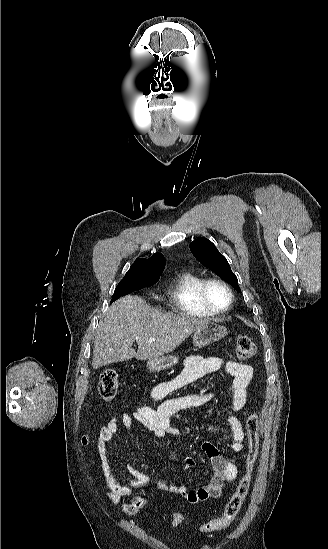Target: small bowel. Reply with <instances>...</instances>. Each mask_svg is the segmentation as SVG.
I'll return each instance as SVG.
<instances>
[{"label":"small bowel","mask_w":328,"mask_h":549,"mask_svg":"<svg viewBox=\"0 0 328 549\" xmlns=\"http://www.w3.org/2000/svg\"><path fill=\"white\" fill-rule=\"evenodd\" d=\"M221 368H224L233 377L232 400L230 412L227 415V422L232 436L231 457L226 459L214 444L204 441L201 448L209 458L214 471L208 484L193 490H189L183 485L166 486L163 481H160V484L184 498L188 503L196 504L209 498L220 497L225 483L233 482L237 478V458L244 448L245 432L235 413L245 406L247 388L253 378V368L247 364L224 360L216 356L191 355L185 359L184 368L177 376L158 384L152 389L151 399L161 401L157 408L139 406L131 413H123L119 418H112L102 427L97 441V452L108 487L106 497L109 501L119 504L124 498L133 495V489L145 488L151 482L149 475L131 466H126L127 476L117 474L114 471L108 454V445L118 437L119 421L130 432H133L135 422H138L160 439L165 440L170 437L180 436L179 429L171 425V419L183 410L207 405L213 400V395L193 393L173 398L167 397ZM184 463L186 469H190L195 465L194 460L187 454L184 455Z\"/></svg>","instance_id":"1"}]
</instances>
